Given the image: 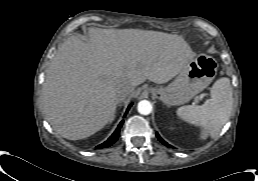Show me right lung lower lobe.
<instances>
[{"mask_svg":"<svg viewBox=\"0 0 258 181\" xmlns=\"http://www.w3.org/2000/svg\"><path fill=\"white\" fill-rule=\"evenodd\" d=\"M123 122H124L123 120L120 122V124L118 125L117 129L115 130V132L111 135V137L107 141H105L104 143L96 146V148L97 149L107 148V147H110L114 142H116L118 137H119L120 128L122 127Z\"/></svg>","mask_w":258,"mask_h":181,"instance_id":"right-lung-lower-lobe-1","label":"right lung lower lobe"}]
</instances>
